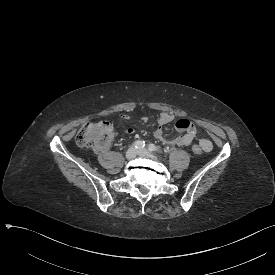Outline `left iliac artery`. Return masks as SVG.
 I'll return each mask as SVG.
<instances>
[{
    "label": "left iliac artery",
    "mask_w": 275,
    "mask_h": 275,
    "mask_svg": "<svg viewBox=\"0 0 275 275\" xmlns=\"http://www.w3.org/2000/svg\"><path fill=\"white\" fill-rule=\"evenodd\" d=\"M148 149L152 152L162 153V151L157 146H155L154 144H150Z\"/></svg>",
    "instance_id": "left-iliac-artery-1"
}]
</instances>
